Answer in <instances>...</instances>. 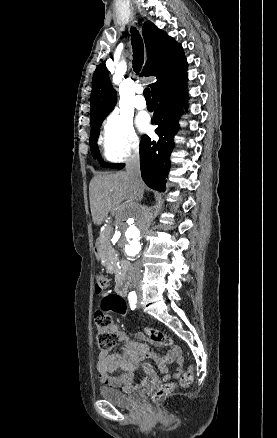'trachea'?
Returning <instances> with one entry per match:
<instances>
[{
  "label": "trachea",
  "instance_id": "3493384b",
  "mask_svg": "<svg viewBox=\"0 0 277 438\" xmlns=\"http://www.w3.org/2000/svg\"><path fill=\"white\" fill-rule=\"evenodd\" d=\"M131 44L133 48V69L136 73H139L144 61V45L136 28H131ZM143 93L146 100H151L149 88H145Z\"/></svg>",
  "mask_w": 277,
  "mask_h": 438
}]
</instances>
